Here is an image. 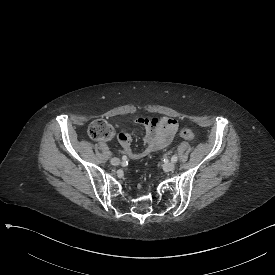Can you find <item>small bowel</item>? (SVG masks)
Wrapping results in <instances>:
<instances>
[{
    "label": "small bowel",
    "instance_id": "small-bowel-1",
    "mask_svg": "<svg viewBox=\"0 0 275 275\" xmlns=\"http://www.w3.org/2000/svg\"><path fill=\"white\" fill-rule=\"evenodd\" d=\"M137 122L145 128L144 147L141 150L136 151L131 148L130 140L134 136L130 132L126 134L125 128H120L117 133V138L123 144V150L134 160L142 159L152 152L167 147L178 128V123L173 118H164L159 121L155 118L138 117Z\"/></svg>",
    "mask_w": 275,
    "mask_h": 275
}]
</instances>
